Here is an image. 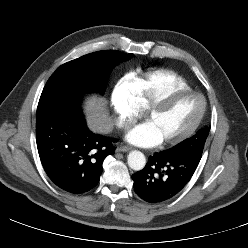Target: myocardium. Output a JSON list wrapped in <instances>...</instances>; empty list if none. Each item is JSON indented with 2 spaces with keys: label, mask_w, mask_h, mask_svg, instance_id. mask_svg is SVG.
Instances as JSON below:
<instances>
[{
  "label": "myocardium",
  "mask_w": 248,
  "mask_h": 248,
  "mask_svg": "<svg viewBox=\"0 0 248 248\" xmlns=\"http://www.w3.org/2000/svg\"><path fill=\"white\" fill-rule=\"evenodd\" d=\"M188 95L197 96L201 100V110H200L198 117L196 118L194 123L186 131H184L183 133H181L180 135H178L174 138H170V139L161 141V143H160L161 145H163V146H175V145H178V144L184 142L189 137H191L195 133V131L199 128V126H200V124H201V122H202V120L206 114L207 100H206L205 96L198 91L173 90V91H170V92L166 93L165 95L157 98L147 107L146 112H145L146 118L149 115L157 112L158 110L165 108L167 105H169L170 103H172L176 99H179L181 97L188 96Z\"/></svg>",
  "instance_id": "myocardium-1"
}]
</instances>
